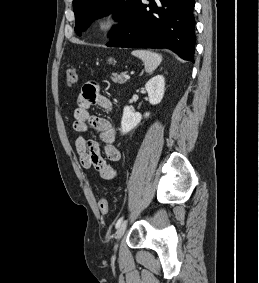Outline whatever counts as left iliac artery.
<instances>
[{
    "label": "left iliac artery",
    "instance_id": "left-iliac-artery-1",
    "mask_svg": "<svg viewBox=\"0 0 259 283\" xmlns=\"http://www.w3.org/2000/svg\"><path fill=\"white\" fill-rule=\"evenodd\" d=\"M122 221H123V217H121V218L118 219V221H117V223H116V228H119V227H120Z\"/></svg>",
    "mask_w": 259,
    "mask_h": 283
}]
</instances>
